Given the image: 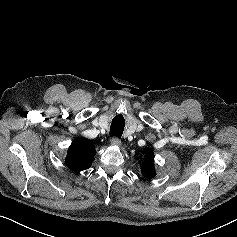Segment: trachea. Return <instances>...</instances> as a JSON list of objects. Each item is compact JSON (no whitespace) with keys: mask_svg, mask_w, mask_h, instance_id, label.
Listing matches in <instances>:
<instances>
[{"mask_svg":"<svg viewBox=\"0 0 237 237\" xmlns=\"http://www.w3.org/2000/svg\"><path fill=\"white\" fill-rule=\"evenodd\" d=\"M124 131V122L119 121L114 118L110 127V136H115L117 138H121Z\"/></svg>","mask_w":237,"mask_h":237,"instance_id":"1","label":"trachea"}]
</instances>
